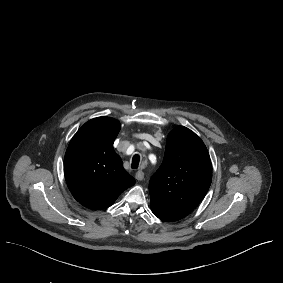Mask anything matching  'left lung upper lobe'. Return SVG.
<instances>
[{
    "label": "left lung upper lobe",
    "mask_w": 283,
    "mask_h": 283,
    "mask_svg": "<svg viewBox=\"0 0 283 283\" xmlns=\"http://www.w3.org/2000/svg\"><path fill=\"white\" fill-rule=\"evenodd\" d=\"M212 164L203 141L183 126L168 135L163 162L149 182L151 207L191 212L206 195Z\"/></svg>",
    "instance_id": "5c2ea615"
}]
</instances>
